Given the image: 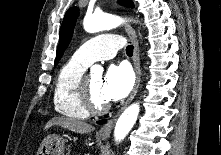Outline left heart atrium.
<instances>
[{
  "mask_svg": "<svg viewBox=\"0 0 221 155\" xmlns=\"http://www.w3.org/2000/svg\"><path fill=\"white\" fill-rule=\"evenodd\" d=\"M133 85V74L126 64L111 65L102 80V94L107 101L127 96Z\"/></svg>",
  "mask_w": 221,
  "mask_h": 155,
  "instance_id": "left-heart-atrium-1",
  "label": "left heart atrium"
}]
</instances>
